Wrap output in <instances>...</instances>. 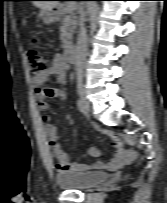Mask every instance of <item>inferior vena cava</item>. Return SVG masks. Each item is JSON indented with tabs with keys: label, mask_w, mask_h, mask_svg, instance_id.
I'll use <instances>...</instances> for the list:
<instances>
[{
	"label": "inferior vena cava",
	"mask_w": 167,
	"mask_h": 203,
	"mask_svg": "<svg viewBox=\"0 0 167 203\" xmlns=\"http://www.w3.org/2000/svg\"><path fill=\"white\" fill-rule=\"evenodd\" d=\"M86 55H87V34L85 28V15L84 12L81 11L79 21L78 42L76 48V63H75V69L78 77L84 76Z\"/></svg>",
	"instance_id": "1"
}]
</instances>
